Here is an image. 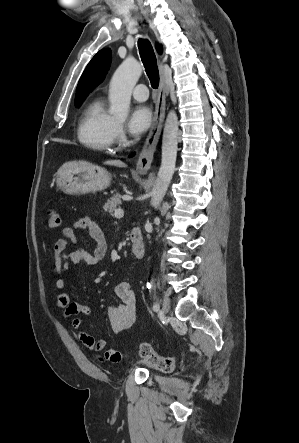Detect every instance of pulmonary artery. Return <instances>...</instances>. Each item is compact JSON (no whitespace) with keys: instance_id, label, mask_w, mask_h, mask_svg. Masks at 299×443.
Masks as SVG:
<instances>
[{"instance_id":"e3ab8cb5","label":"pulmonary artery","mask_w":299,"mask_h":443,"mask_svg":"<svg viewBox=\"0 0 299 443\" xmlns=\"http://www.w3.org/2000/svg\"><path fill=\"white\" fill-rule=\"evenodd\" d=\"M133 98L137 101H146L148 98V88L145 84H138L132 91Z\"/></svg>"}]
</instances>
